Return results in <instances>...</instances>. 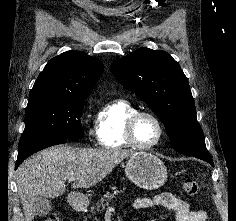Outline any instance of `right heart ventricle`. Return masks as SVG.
Masks as SVG:
<instances>
[{
    "label": "right heart ventricle",
    "instance_id": "e07e8e85",
    "mask_svg": "<svg viewBox=\"0 0 236 221\" xmlns=\"http://www.w3.org/2000/svg\"><path fill=\"white\" fill-rule=\"evenodd\" d=\"M135 111L137 108L125 98L106 103L96 117L95 134L99 145L112 150L131 148L125 138V126Z\"/></svg>",
    "mask_w": 236,
    "mask_h": 221
}]
</instances>
